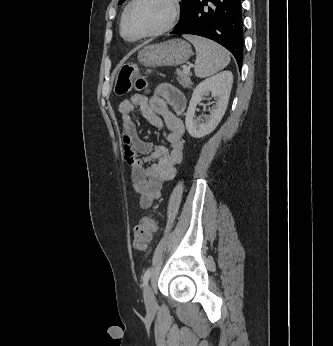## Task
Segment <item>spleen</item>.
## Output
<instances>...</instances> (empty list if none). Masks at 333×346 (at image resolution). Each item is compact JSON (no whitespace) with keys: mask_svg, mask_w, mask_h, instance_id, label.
<instances>
[{"mask_svg":"<svg viewBox=\"0 0 333 346\" xmlns=\"http://www.w3.org/2000/svg\"><path fill=\"white\" fill-rule=\"evenodd\" d=\"M185 38L194 45L196 50L194 72L197 77L211 76L229 64L228 51L217 43L195 35H187Z\"/></svg>","mask_w":333,"mask_h":346,"instance_id":"spleen-1","label":"spleen"}]
</instances>
